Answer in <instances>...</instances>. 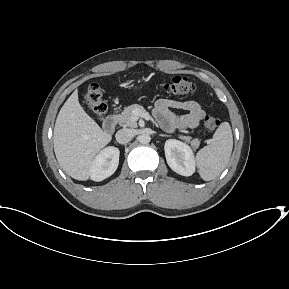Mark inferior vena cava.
I'll list each match as a JSON object with an SVG mask.
<instances>
[{
  "label": "inferior vena cava",
  "mask_w": 289,
  "mask_h": 289,
  "mask_svg": "<svg viewBox=\"0 0 289 289\" xmlns=\"http://www.w3.org/2000/svg\"><path fill=\"white\" fill-rule=\"evenodd\" d=\"M116 140L120 144H126L133 138V132L130 129H121L119 130L116 135Z\"/></svg>",
  "instance_id": "obj_1"
}]
</instances>
